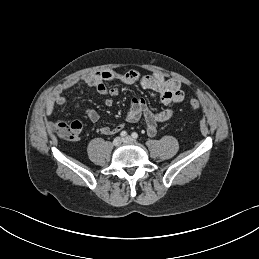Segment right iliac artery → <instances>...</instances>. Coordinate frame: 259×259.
Returning a JSON list of instances; mask_svg holds the SVG:
<instances>
[{
    "label": "right iliac artery",
    "mask_w": 259,
    "mask_h": 259,
    "mask_svg": "<svg viewBox=\"0 0 259 259\" xmlns=\"http://www.w3.org/2000/svg\"><path fill=\"white\" fill-rule=\"evenodd\" d=\"M120 135H121L122 137H125V136L127 135V132H126V131H122V132L120 133Z\"/></svg>",
    "instance_id": "right-iliac-artery-1"
}]
</instances>
